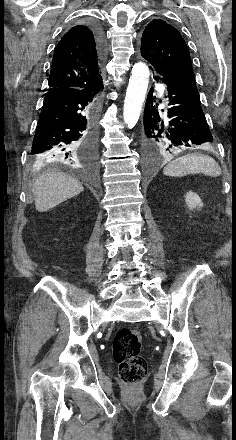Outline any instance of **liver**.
<instances>
[{
  "label": "liver",
  "instance_id": "liver-1",
  "mask_svg": "<svg viewBox=\"0 0 236 440\" xmlns=\"http://www.w3.org/2000/svg\"><path fill=\"white\" fill-rule=\"evenodd\" d=\"M83 190V185L70 175L63 172H47L36 179L33 186L36 210L46 212Z\"/></svg>",
  "mask_w": 236,
  "mask_h": 440
}]
</instances>
